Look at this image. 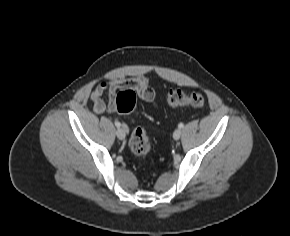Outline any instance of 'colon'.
<instances>
[{
  "instance_id": "obj_1",
  "label": "colon",
  "mask_w": 290,
  "mask_h": 236,
  "mask_svg": "<svg viewBox=\"0 0 290 236\" xmlns=\"http://www.w3.org/2000/svg\"><path fill=\"white\" fill-rule=\"evenodd\" d=\"M205 96L199 92L185 93L181 90H171L168 93L167 102L171 107L192 106L202 107L205 104ZM136 107V92L130 88H123L115 98V108L123 114H130ZM129 147L131 151L140 157H146L151 149L150 139L141 127H136L130 136Z\"/></svg>"
}]
</instances>
